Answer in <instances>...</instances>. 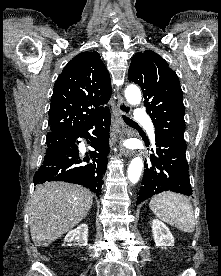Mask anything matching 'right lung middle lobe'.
<instances>
[{
    "mask_svg": "<svg viewBox=\"0 0 221 276\" xmlns=\"http://www.w3.org/2000/svg\"><path fill=\"white\" fill-rule=\"evenodd\" d=\"M71 140L72 136L67 135L46 136V153L68 147Z\"/></svg>",
    "mask_w": 221,
    "mask_h": 276,
    "instance_id": "obj_1",
    "label": "right lung middle lobe"
}]
</instances>
